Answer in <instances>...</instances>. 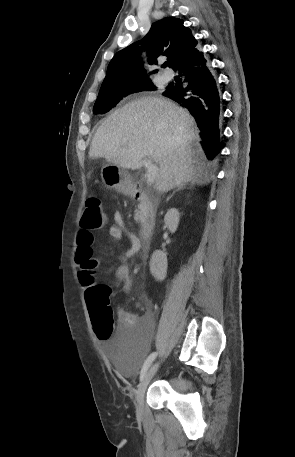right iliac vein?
I'll use <instances>...</instances> for the list:
<instances>
[{"instance_id": "right-iliac-vein-1", "label": "right iliac vein", "mask_w": 295, "mask_h": 457, "mask_svg": "<svg viewBox=\"0 0 295 457\" xmlns=\"http://www.w3.org/2000/svg\"><path fill=\"white\" fill-rule=\"evenodd\" d=\"M158 367H159V363L158 362L154 363L150 367L148 372L145 374L144 378L142 379V382L140 383V385L138 387L137 394H136V408L139 412H141L143 410L144 396H145L146 389H147L151 379L155 375Z\"/></svg>"}]
</instances>
